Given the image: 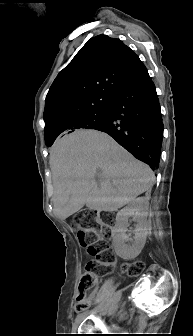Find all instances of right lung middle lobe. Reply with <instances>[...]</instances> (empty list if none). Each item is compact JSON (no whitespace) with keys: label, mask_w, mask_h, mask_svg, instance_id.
I'll list each match as a JSON object with an SVG mask.
<instances>
[{"label":"right lung middle lobe","mask_w":193,"mask_h":336,"mask_svg":"<svg viewBox=\"0 0 193 336\" xmlns=\"http://www.w3.org/2000/svg\"><path fill=\"white\" fill-rule=\"evenodd\" d=\"M107 118L108 108L91 111L77 118L74 122V130L81 128L99 130L106 124ZM53 142L51 138L45 140L48 147L52 146Z\"/></svg>","instance_id":"right-lung-middle-lobe-1"}]
</instances>
